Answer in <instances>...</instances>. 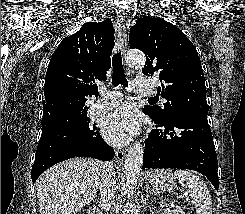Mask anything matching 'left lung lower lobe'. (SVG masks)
<instances>
[{"label":"left lung lower lobe","mask_w":245,"mask_h":214,"mask_svg":"<svg viewBox=\"0 0 245 214\" xmlns=\"http://www.w3.org/2000/svg\"><path fill=\"white\" fill-rule=\"evenodd\" d=\"M157 124L145 141L144 168L190 169L205 175L218 190L217 157L207 113L192 112ZM163 127V129H162Z\"/></svg>","instance_id":"1"}]
</instances>
